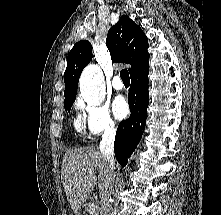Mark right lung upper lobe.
Wrapping results in <instances>:
<instances>
[{
  "label": "right lung upper lobe",
  "instance_id": "cb5924a9",
  "mask_svg": "<svg viewBox=\"0 0 221 215\" xmlns=\"http://www.w3.org/2000/svg\"><path fill=\"white\" fill-rule=\"evenodd\" d=\"M106 46L113 62L131 65L130 75L148 63L147 37L128 16H122L117 24L109 29ZM92 57V45L88 40L77 42L69 52L64 73L65 102L75 101L79 77Z\"/></svg>",
  "mask_w": 221,
  "mask_h": 215
}]
</instances>
